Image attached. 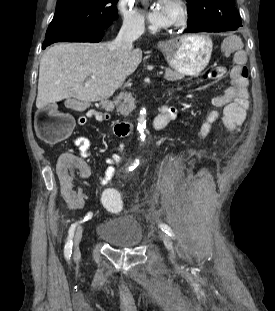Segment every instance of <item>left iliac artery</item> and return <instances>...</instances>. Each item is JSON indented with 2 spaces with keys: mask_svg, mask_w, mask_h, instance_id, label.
<instances>
[{
  "mask_svg": "<svg viewBox=\"0 0 275 311\" xmlns=\"http://www.w3.org/2000/svg\"><path fill=\"white\" fill-rule=\"evenodd\" d=\"M159 227L164 231L166 234H168L170 237L174 238V233L172 229L165 223H160Z\"/></svg>",
  "mask_w": 275,
  "mask_h": 311,
  "instance_id": "left-iliac-artery-1",
  "label": "left iliac artery"
}]
</instances>
